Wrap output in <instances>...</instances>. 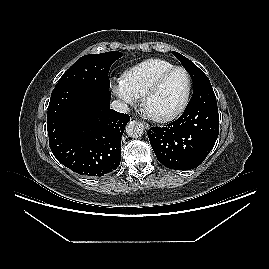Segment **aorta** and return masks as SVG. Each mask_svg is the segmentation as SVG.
<instances>
[{"mask_svg":"<svg viewBox=\"0 0 269 269\" xmlns=\"http://www.w3.org/2000/svg\"><path fill=\"white\" fill-rule=\"evenodd\" d=\"M144 130V125L137 121H131L126 126V133L131 138L141 137L144 133Z\"/></svg>","mask_w":269,"mask_h":269,"instance_id":"obj_1","label":"aorta"}]
</instances>
